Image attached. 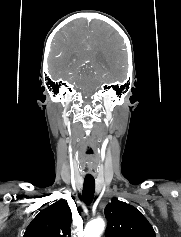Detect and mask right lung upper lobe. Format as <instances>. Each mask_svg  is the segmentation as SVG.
Wrapping results in <instances>:
<instances>
[{"label": "right lung upper lobe", "instance_id": "cb5924a9", "mask_svg": "<svg viewBox=\"0 0 181 237\" xmlns=\"http://www.w3.org/2000/svg\"><path fill=\"white\" fill-rule=\"evenodd\" d=\"M71 222L70 207L60 199L31 221L23 237H70Z\"/></svg>", "mask_w": 181, "mask_h": 237}]
</instances>
